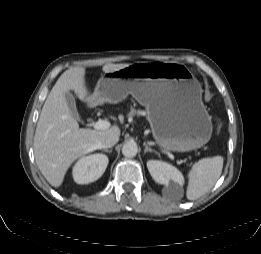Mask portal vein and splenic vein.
<instances>
[{
    "label": "portal vein and splenic vein",
    "mask_w": 261,
    "mask_h": 254,
    "mask_svg": "<svg viewBox=\"0 0 261 254\" xmlns=\"http://www.w3.org/2000/svg\"><path fill=\"white\" fill-rule=\"evenodd\" d=\"M110 122L106 120H98L95 123H93V128L96 130H105L110 127Z\"/></svg>",
    "instance_id": "1"
}]
</instances>
